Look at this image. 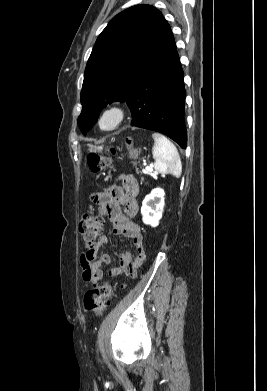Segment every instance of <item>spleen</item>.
Returning <instances> with one entry per match:
<instances>
[{
	"mask_svg": "<svg viewBox=\"0 0 267 391\" xmlns=\"http://www.w3.org/2000/svg\"><path fill=\"white\" fill-rule=\"evenodd\" d=\"M152 137L154 139L152 155L155 159V170L179 178L182 173V163L177 148L162 134L154 132Z\"/></svg>",
	"mask_w": 267,
	"mask_h": 391,
	"instance_id": "spleen-1",
	"label": "spleen"
}]
</instances>
